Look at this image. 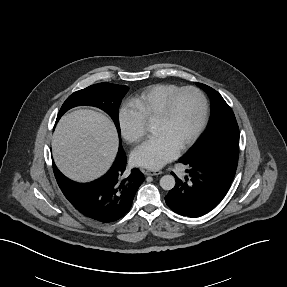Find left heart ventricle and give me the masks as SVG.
<instances>
[{"label": "left heart ventricle", "instance_id": "obj_1", "mask_svg": "<svg viewBox=\"0 0 287 287\" xmlns=\"http://www.w3.org/2000/svg\"><path fill=\"white\" fill-rule=\"evenodd\" d=\"M201 117L199 98L192 92L182 94L174 103L168 121L153 124L154 136L168 138L177 148L190 137Z\"/></svg>", "mask_w": 287, "mask_h": 287}]
</instances>
